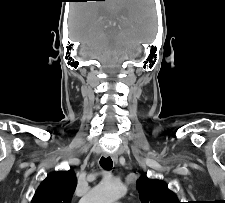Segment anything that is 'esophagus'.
<instances>
[{
  "instance_id": "esophagus-1",
  "label": "esophagus",
  "mask_w": 225,
  "mask_h": 203,
  "mask_svg": "<svg viewBox=\"0 0 225 203\" xmlns=\"http://www.w3.org/2000/svg\"><path fill=\"white\" fill-rule=\"evenodd\" d=\"M103 155H104V157H110L114 162L118 161V155L117 154L104 153Z\"/></svg>"
}]
</instances>
